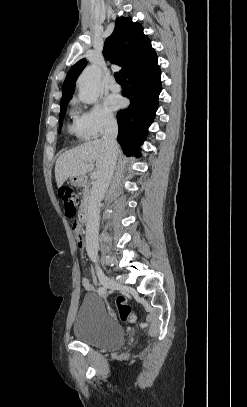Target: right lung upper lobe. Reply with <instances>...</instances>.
I'll list each match as a JSON object with an SVG mask.
<instances>
[{
    "label": "right lung upper lobe",
    "instance_id": "cb5924a9",
    "mask_svg": "<svg viewBox=\"0 0 247 407\" xmlns=\"http://www.w3.org/2000/svg\"><path fill=\"white\" fill-rule=\"evenodd\" d=\"M104 54L107 60L122 66L120 70L122 76L130 69L156 56L148 36L143 33L141 24L126 17L116 19L114 31L104 43ZM86 64L87 60L81 59L69 70L63 83L61 103L70 101L75 82Z\"/></svg>",
    "mask_w": 247,
    "mask_h": 407
}]
</instances>
